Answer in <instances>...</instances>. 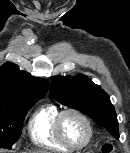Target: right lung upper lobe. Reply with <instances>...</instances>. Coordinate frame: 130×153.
Listing matches in <instances>:
<instances>
[{"label": "right lung upper lobe", "mask_w": 130, "mask_h": 153, "mask_svg": "<svg viewBox=\"0 0 130 153\" xmlns=\"http://www.w3.org/2000/svg\"><path fill=\"white\" fill-rule=\"evenodd\" d=\"M45 79L20 71L14 63L0 67V107L17 108L41 99L48 90Z\"/></svg>", "instance_id": "cb5924a9"}]
</instances>
